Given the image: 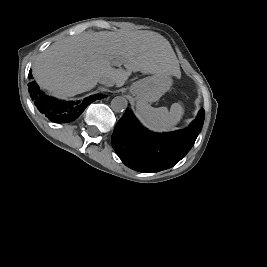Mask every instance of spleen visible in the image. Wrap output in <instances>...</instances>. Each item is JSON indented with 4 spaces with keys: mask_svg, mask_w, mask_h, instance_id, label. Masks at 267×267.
I'll use <instances>...</instances> for the list:
<instances>
[{
    "mask_svg": "<svg viewBox=\"0 0 267 267\" xmlns=\"http://www.w3.org/2000/svg\"><path fill=\"white\" fill-rule=\"evenodd\" d=\"M184 114L180 103H173L170 110L167 107L154 108L141 101L136 105V116L139 121L153 132L163 133L177 125Z\"/></svg>",
    "mask_w": 267,
    "mask_h": 267,
    "instance_id": "spleen-1",
    "label": "spleen"
}]
</instances>
